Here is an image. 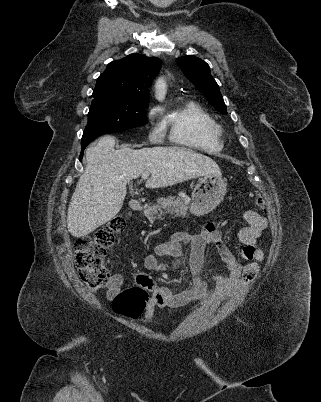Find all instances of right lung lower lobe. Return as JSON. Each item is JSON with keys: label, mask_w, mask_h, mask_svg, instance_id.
Here are the masks:
<instances>
[{"label": "right lung lower lobe", "mask_w": 321, "mask_h": 402, "mask_svg": "<svg viewBox=\"0 0 321 402\" xmlns=\"http://www.w3.org/2000/svg\"><path fill=\"white\" fill-rule=\"evenodd\" d=\"M91 141H93V140H92V139H82V140H81V154H80V160H81L82 157H83L84 149L86 148V146H87Z\"/></svg>", "instance_id": "1"}]
</instances>
